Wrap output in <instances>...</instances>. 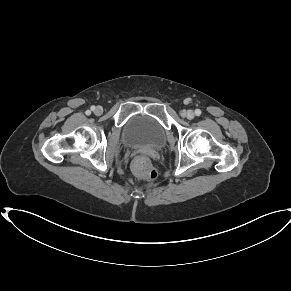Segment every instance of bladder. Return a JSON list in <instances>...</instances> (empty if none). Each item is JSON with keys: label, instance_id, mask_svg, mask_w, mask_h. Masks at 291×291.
Here are the masks:
<instances>
[{"label": "bladder", "instance_id": "obj_1", "mask_svg": "<svg viewBox=\"0 0 291 291\" xmlns=\"http://www.w3.org/2000/svg\"><path fill=\"white\" fill-rule=\"evenodd\" d=\"M166 139V130L154 119L147 116H136L128 121L122 144L126 147L158 148Z\"/></svg>", "mask_w": 291, "mask_h": 291}]
</instances>
